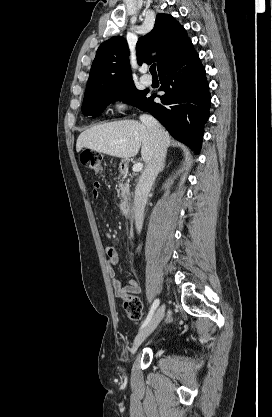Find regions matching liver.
<instances>
[{
	"mask_svg": "<svg viewBox=\"0 0 272 417\" xmlns=\"http://www.w3.org/2000/svg\"><path fill=\"white\" fill-rule=\"evenodd\" d=\"M164 135L167 147L170 136L166 131ZM82 148L123 159L134 157L141 148L145 163L149 162L152 149L147 128L135 120L103 123L85 130L76 142V151L80 152Z\"/></svg>",
	"mask_w": 272,
	"mask_h": 417,
	"instance_id": "obj_1",
	"label": "liver"
}]
</instances>
